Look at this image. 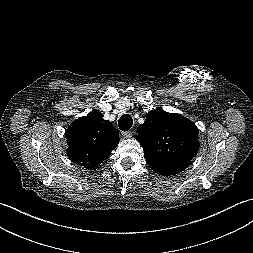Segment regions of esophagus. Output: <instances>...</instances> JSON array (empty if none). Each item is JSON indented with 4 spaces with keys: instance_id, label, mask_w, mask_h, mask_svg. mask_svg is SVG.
<instances>
[{
    "instance_id": "esophagus-1",
    "label": "esophagus",
    "mask_w": 253,
    "mask_h": 253,
    "mask_svg": "<svg viewBox=\"0 0 253 253\" xmlns=\"http://www.w3.org/2000/svg\"><path fill=\"white\" fill-rule=\"evenodd\" d=\"M133 135L132 131H126V132H122V136L124 138H131Z\"/></svg>"
}]
</instances>
